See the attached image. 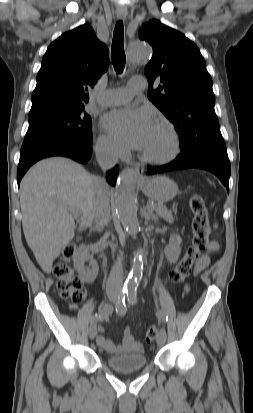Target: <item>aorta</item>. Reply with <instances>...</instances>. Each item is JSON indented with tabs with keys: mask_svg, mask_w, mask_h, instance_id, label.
<instances>
[{
	"mask_svg": "<svg viewBox=\"0 0 253 413\" xmlns=\"http://www.w3.org/2000/svg\"><path fill=\"white\" fill-rule=\"evenodd\" d=\"M151 53V47L144 41H134L129 47V56L134 62L145 61ZM137 174L133 169H126L119 176L116 184L115 208L116 214L129 234L136 235L139 231L137 203L135 196ZM143 272V265L135 261L130 278L126 283L128 290H134Z\"/></svg>",
	"mask_w": 253,
	"mask_h": 413,
	"instance_id": "1",
	"label": "aorta"
}]
</instances>
